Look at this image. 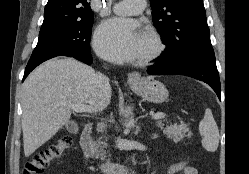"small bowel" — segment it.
<instances>
[{
    "label": "small bowel",
    "mask_w": 249,
    "mask_h": 174,
    "mask_svg": "<svg viewBox=\"0 0 249 174\" xmlns=\"http://www.w3.org/2000/svg\"><path fill=\"white\" fill-rule=\"evenodd\" d=\"M178 172L182 174H198L197 170L190 166L187 161H182L169 170V174H176Z\"/></svg>",
    "instance_id": "1"
}]
</instances>
